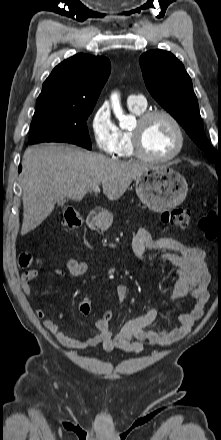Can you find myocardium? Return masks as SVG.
Returning <instances> with one entry per match:
<instances>
[{
  "label": "myocardium",
  "mask_w": 221,
  "mask_h": 440,
  "mask_svg": "<svg viewBox=\"0 0 221 440\" xmlns=\"http://www.w3.org/2000/svg\"><path fill=\"white\" fill-rule=\"evenodd\" d=\"M156 116H163L167 118L175 128L177 134V145L173 152L163 157H156L148 154L142 145L141 134L139 130H132L130 132L132 147L134 155L142 160L156 163H165L175 159L182 152L185 144V135L182 125L180 124L178 119L171 112L165 109H152L145 111L138 116L137 123L139 127H142L147 121Z\"/></svg>",
  "instance_id": "obj_1"
}]
</instances>
